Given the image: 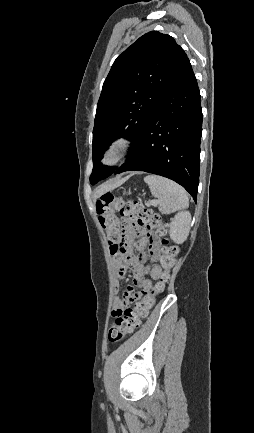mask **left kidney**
Listing matches in <instances>:
<instances>
[{
	"instance_id": "5707ae66",
	"label": "left kidney",
	"mask_w": 254,
	"mask_h": 433,
	"mask_svg": "<svg viewBox=\"0 0 254 433\" xmlns=\"http://www.w3.org/2000/svg\"><path fill=\"white\" fill-rule=\"evenodd\" d=\"M191 214L188 211L178 212L171 220L170 238L177 244H182L190 231Z\"/></svg>"
}]
</instances>
